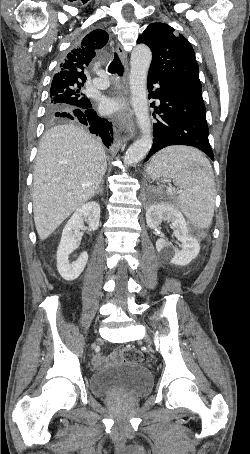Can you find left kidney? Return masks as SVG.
Listing matches in <instances>:
<instances>
[{"instance_id":"left-kidney-1","label":"left kidney","mask_w":250,"mask_h":454,"mask_svg":"<svg viewBox=\"0 0 250 454\" xmlns=\"http://www.w3.org/2000/svg\"><path fill=\"white\" fill-rule=\"evenodd\" d=\"M162 221L170 223L173 234L181 242L177 249L160 238L156 241V249L163 257L170 259L175 265H188L200 252L199 240L194 236L180 210L167 202L151 205L146 211V222L151 229H157Z\"/></svg>"}]
</instances>
